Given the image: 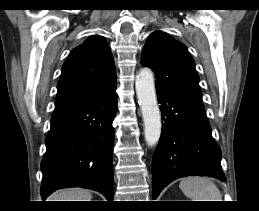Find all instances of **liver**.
Wrapping results in <instances>:
<instances>
[{"mask_svg": "<svg viewBox=\"0 0 259 211\" xmlns=\"http://www.w3.org/2000/svg\"><path fill=\"white\" fill-rule=\"evenodd\" d=\"M89 191L81 188H69L57 191L49 197V201H91Z\"/></svg>", "mask_w": 259, "mask_h": 211, "instance_id": "6515ba94", "label": "liver"}]
</instances>
